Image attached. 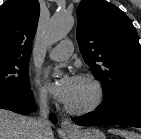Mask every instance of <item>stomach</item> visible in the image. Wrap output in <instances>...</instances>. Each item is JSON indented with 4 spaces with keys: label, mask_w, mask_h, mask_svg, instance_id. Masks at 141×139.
<instances>
[{
    "label": "stomach",
    "mask_w": 141,
    "mask_h": 139,
    "mask_svg": "<svg viewBox=\"0 0 141 139\" xmlns=\"http://www.w3.org/2000/svg\"><path fill=\"white\" fill-rule=\"evenodd\" d=\"M69 139H106L105 134L96 128H87L77 130L73 133H67Z\"/></svg>",
    "instance_id": "stomach-1"
}]
</instances>
